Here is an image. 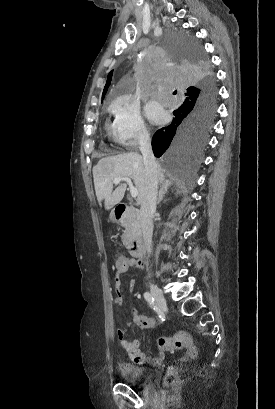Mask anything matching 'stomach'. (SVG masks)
I'll list each match as a JSON object with an SVG mask.
<instances>
[{"instance_id":"stomach-1","label":"stomach","mask_w":275,"mask_h":409,"mask_svg":"<svg viewBox=\"0 0 275 409\" xmlns=\"http://www.w3.org/2000/svg\"><path fill=\"white\" fill-rule=\"evenodd\" d=\"M110 219H111V221H113V223H115L116 219H115L114 211H111Z\"/></svg>"}]
</instances>
